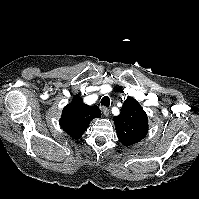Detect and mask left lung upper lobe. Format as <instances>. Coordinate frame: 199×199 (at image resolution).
I'll list each match as a JSON object with an SVG mask.
<instances>
[{"instance_id": "obj_1", "label": "left lung upper lobe", "mask_w": 199, "mask_h": 199, "mask_svg": "<svg viewBox=\"0 0 199 199\" xmlns=\"http://www.w3.org/2000/svg\"><path fill=\"white\" fill-rule=\"evenodd\" d=\"M118 139L125 146L141 141L148 133V118L138 101L128 97L120 115L114 117Z\"/></svg>"}]
</instances>
